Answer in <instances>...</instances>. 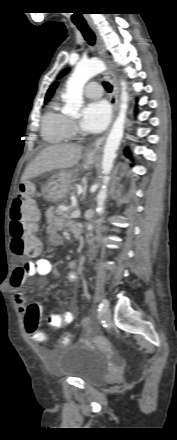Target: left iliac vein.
<instances>
[{
    "label": "left iliac vein",
    "mask_w": 177,
    "mask_h": 440,
    "mask_svg": "<svg viewBox=\"0 0 177 440\" xmlns=\"http://www.w3.org/2000/svg\"><path fill=\"white\" fill-rule=\"evenodd\" d=\"M102 319L104 322H109L111 320V311L109 309V305L107 306V308L102 312L101 314Z\"/></svg>",
    "instance_id": "left-iliac-vein-1"
}]
</instances>
